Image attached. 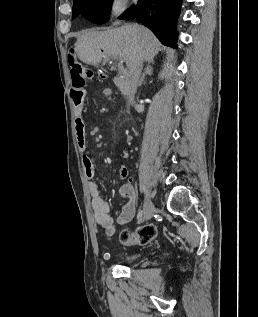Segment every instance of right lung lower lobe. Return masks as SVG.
<instances>
[{
	"label": "right lung lower lobe",
	"instance_id": "obj_1",
	"mask_svg": "<svg viewBox=\"0 0 258 317\" xmlns=\"http://www.w3.org/2000/svg\"><path fill=\"white\" fill-rule=\"evenodd\" d=\"M182 0H138L119 18L137 19L148 27L166 46L177 48L176 22L180 13Z\"/></svg>",
	"mask_w": 258,
	"mask_h": 317
}]
</instances>
